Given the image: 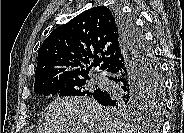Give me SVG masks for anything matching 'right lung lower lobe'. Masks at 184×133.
Returning a JSON list of instances; mask_svg holds the SVG:
<instances>
[{
	"label": "right lung lower lobe",
	"mask_w": 184,
	"mask_h": 133,
	"mask_svg": "<svg viewBox=\"0 0 184 133\" xmlns=\"http://www.w3.org/2000/svg\"><path fill=\"white\" fill-rule=\"evenodd\" d=\"M114 12L121 33L122 48L105 69L113 87L91 96L103 106H111L120 97L136 99L148 80L145 40L138 35L129 18L120 11Z\"/></svg>",
	"instance_id": "right-lung-lower-lobe-1"
}]
</instances>
